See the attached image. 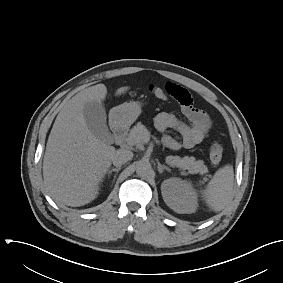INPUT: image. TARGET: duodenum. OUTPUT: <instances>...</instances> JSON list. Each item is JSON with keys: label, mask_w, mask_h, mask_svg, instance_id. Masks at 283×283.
Here are the masks:
<instances>
[{"label": "duodenum", "mask_w": 283, "mask_h": 283, "mask_svg": "<svg viewBox=\"0 0 283 283\" xmlns=\"http://www.w3.org/2000/svg\"><path fill=\"white\" fill-rule=\"evenodd\" d=\"M112 132L117 144H122L128 133V127L119 121H115L112 125Z\"/></svg>", "instance_id": "1"}]
</instances>
